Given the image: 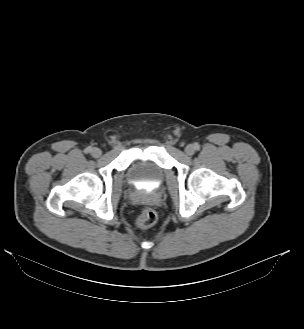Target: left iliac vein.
I'll use <instances>...</instances> for the list:
<instances>
[{
	"mask_svg": "<svg viewBox=\"0 0 304 329\" xmlns=\"http://www.w3.org/2000/svg\"><path fill=\"white\" fill-rule=\"evenodd\" d=\"M185 152H186V154L189 155V156L193 155L194 152H195V148H194V146L191 145V144H190V145H187L186 148H185Z\"/></svg>",
	"mask_w": 304,
	"mask_h": 329,
	"instance_id": "left-iliac-vein-1",
	"label": "left iliac vein"
}]
</instances>
